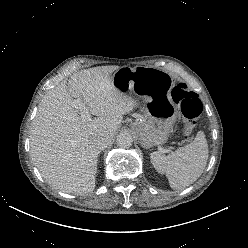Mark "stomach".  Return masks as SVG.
<instances>
[{
	"label": "stomach",
	"instance_id": "stomach-1",
	"mask_svg": "<svg viewBox=\"0 0 248 248\" xmlns=\"http://www.w3.org/2000/svg\"><path fill=\"white\" fill-rule=\"evenodd\" d=\"M112 80L121 92H137L146 102L145 118L133 127L141 145L151 148L164 144L178 114L171 100V76L153 67L124 66L113 74Z\"/></svg>",
	"mask_w": 248,
	"mask_h": 248
}]
</instances>
